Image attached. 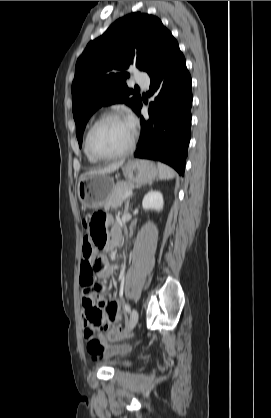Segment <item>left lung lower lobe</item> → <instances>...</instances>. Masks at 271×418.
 Segmentation results:
<instances>
[{"instance_id": "left-lung-lower-lobe-1", "label": "left lung lower lobe", "mask_w": 271, "mask_h": 418, "mask_svg": "<svg viewBox=\"0 0 271 418\" xmlns=\"http://www.w3.org/2000/svg\"><path fill=\"white\" fill-rule=\"evenodd\" d=\"M151 79L150 121L155 119L152 132L150 121L141 117L142 134L135 157L159 160L184 175L188 145L191 137V76L186 61L172 36L158 61L148 73ZM142 102L137 114L140 115Z\"/></svg>"}]
</instances>
